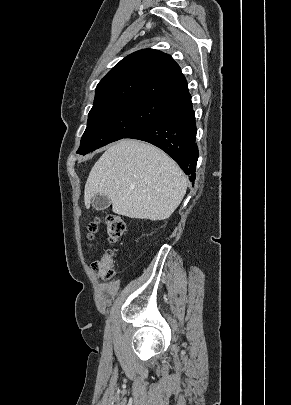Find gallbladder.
Returning <instances> with one entry per match:
<instances>
[{"mask_svg": "<svg viewBox=\"0 0 291 405\" xmlns=\"http://www.w3.org/2000/svg\"><path fill=\"white\" fill-rule=\"evenodd\" d=\"M110 204L111 201L106 196L103 195H96L92 199V206L98 211L107 209L110 206Z\"/></svg>", "mask_w": 291, "mask_h": 405, "instance_id": "obj_1", "label": "gallbladder"}]
</instances>
